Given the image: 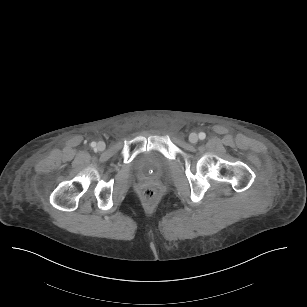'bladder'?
<instances>
[{"label": "bladder", "instance_id": "31cf9c89", "mask_svg": "<svg viewBox=\"0 0 307 307\" xmlns=\"http://www.w3.org/2000/svg\"><path fill=\"white\" fill-rule=\"evenodd\" d=\"M136 166L141 171H154L163 173L168 167V160L157 151H149L141 154L136 160Z\"/></svg>", "mask_w": 307, "mask_h": 307}]
</instances>
